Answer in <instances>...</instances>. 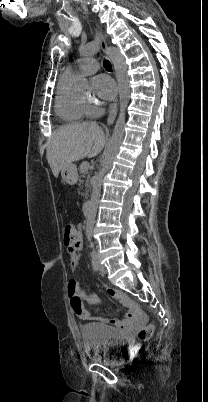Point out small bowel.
Wrapping results in <instances>:
<instances>
[{"instance_id":"c3829d8e","label":"small bowel","mask_w":208,"mask_h":402,"mask_svg":"<svg viewBox=\"0 0 208 402\" xmlns=\"http://www.w3.org/2000/svg\"><path fill=\"white\" fill-rule=\"evenodd\" d=\"M75 238L74 241H71L69 243V246L67 248V253L70 254V266L72 269H74L78 262H79V251H81L82 249V227H81V223L77 222L76 223V227H75ZM67 296L69 297V299H71V297L73 296H79L82 300H84L86 303L94 305L96 304L99 300L96 296L89 294V293H85L83 291H81L79 289L78 283L71 279L69 280V282L67 283ZM107 297L111 300V301H121L127 308L129 311H132L134 309V305L131 303V301L128 299V295L125 292H116L115 289H108L106 292ZM131 314L128 313L127 314V321L123 322L122 327L125 330H135L138 327V324H145L147 321V318L145 315H143V312L141 309H134L132 312L133 316H130ZM79 317L82 318V321L84 324H93L94 321H96V323L101 324L104 321L103 316L98 315L95 316L92 315L90 312H88L87 310L84 311L83 314H81ZM109 322L112 325H118L119 324V320L118 319H111L109 320Z\"/></svg>"}]
</instances>
